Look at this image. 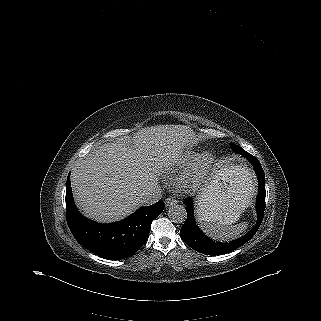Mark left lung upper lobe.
I'll return each mask as SVG.
<instances>
[{
    "mask_svg": "<svg viewBox=\"0 0 321 321\" xmlns=\"http://www.w3.org/2000/svg\"><path fill=\"white\" fill-rule=\"evenodd\" d=\"M230 146H231V149L234 151V152H239V150H241V149H243V148H241L240 146H238V145H235V144H230Z\"/></svg>",
    "mask_w": 321,
    "mask_h": 321,
    "instance_id": "5c2ea615",
    "label": "left lung upper lobe"
}]
</instances>
